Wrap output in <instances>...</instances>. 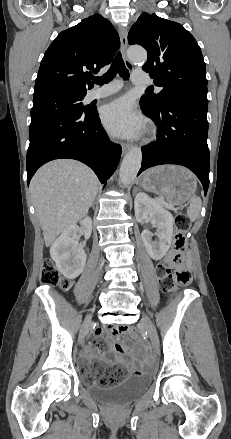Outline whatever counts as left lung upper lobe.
Masks as SVG:
<instances>
[{"instance_id":"left-lung-upper-lobe-1","label":"left lung upper lobe","mask_w":231,"mask_h":439,"mask_svg":"<svg viewBox=\"0 0 231 439\" xmlns=\"http://www.w3.org/2000/svg\"><path fill=\"white\" fill-rule=\"evenodd\" d=\"M130 45H142L148 52L142 69L162 87L160 93L140 99L150 108L181 93L207 96L206 70L195 38L179 23L143 13L128 33Z\"/></svg>"}]
</instances>
